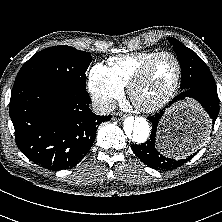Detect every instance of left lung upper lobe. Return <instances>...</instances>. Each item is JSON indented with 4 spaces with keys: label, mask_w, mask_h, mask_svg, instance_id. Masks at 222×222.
Wrapping results in <instances>:
<instances>
[{
    "label": "left lung upper lobe",
    "mask_w": 222,
    "mask_h": 222,
    "mask_svg": "<svg viewBox=\"0 0 222 222\" xmlns=\"http://www.w3.org/2000/svg\"><path fill=\"white\" fill-rule=\"evenodd\" d=\"M168 39L173 45L174 51L181 64V89L184 90L191 87L216 89L212 73L203 60L193 50L184 46L178 40L174 38ZM190 68H193V70H189ZM159 168L164 169L161 162Z\"/></svg>",
    "instance_id": "left-lung-upper-lobe-1"
}]
</instances>
